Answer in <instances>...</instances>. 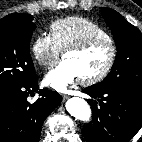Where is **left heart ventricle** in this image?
Returning <instances> with one entry per match:
<instances>
[{
    "mask_svg": "<svg viewBox=\"0 0 142 142\" xmlns=\"http://www.w3.org/2000/svg\"><path fill=\"white\" fill-rule=\"evenodd\" d=\"M110 56V47L106 42H100L83 52H71L64 57L77 69L81 78L91 76L101 71Z\"/></svg>",
    "mask_w": 142,
    "mask_h": 142,
    "instance_id": "b2bd125f",
    "label": "left heart ventricle"
}]
</instances>
